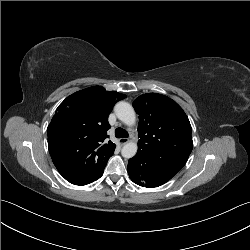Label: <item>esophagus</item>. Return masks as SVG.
Returning <instances> with one entry per match:
<instances>
[{
    "label": "esophagus",
    "mask_w": 250,
    "mask_h": 250,
    "mask_svg": "<svg viewBox=\"0 0 250 250\" xmlns=\"http://www.w3.org/2000/svg\"><path fill=\"white\" fill-rule=\"evenodd\" d=\"M118 142H119L120 145H124V144H126L128 142V139L127 138H120L118 140Z\"/></svg>",
    "instance_id": "34e87169"
}]
</instances>
